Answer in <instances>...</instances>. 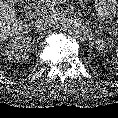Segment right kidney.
Listing matches in <instances>:
<instances>
[{"instance_id":"ca27d5eb","label":"right kidney","mask_w":118,"mask_h":118,"mask_svg":"<svg viewBox=\"0 0 118 118\" xmlns=\"http://www.w3.org/2000/svg\"><path fill=\"white\" fill-rule=\"evenodd\" d=\"M34 47V43L29 37L18 36L5 46L3 55L6 59L19 63L28 59Z\"/></svg>"}]
</instances>
